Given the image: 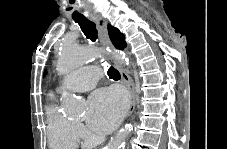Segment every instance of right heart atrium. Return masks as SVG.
I'll return each mask as SVG.
<instances>
[{
  "instance_id": "obj_1",
  "label": "right heart atrium",
  "mask_w": 227,
  "mask_h": 149,
  "mask_svg": "<svg viewBox=\"0 0 227 149\" xmlns=\"http://www.w3.org/2000/svg\"><path fill=\"white\" fill-rule=\"evenodd\" d=\"M76 130H77L78 136H80V137H84L85 136L86 132H85V129H84V127L82 125L76 124Z\"/></svg>"
}]
</instances>
